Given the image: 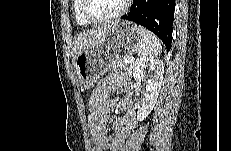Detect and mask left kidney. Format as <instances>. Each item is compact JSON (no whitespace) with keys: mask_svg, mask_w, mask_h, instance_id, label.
<instances>
[{"mask_svg":"<svg viewBox=\"0 0 231 151\" xmlns=\"http://www.w3.org/2000/svg\"><path fill=\"white\" fill-rule=\"evenodd\" d=\"M132 74L137 85L145 82V99L137 111V120L143 121L156 104L162 85L164 64L161 60L143 57L134 63Z\"/></svg>","mask_w":231,"mask_h":151,"instance_id":"left-kidney-1","label":"left kidney"}]
</instances>
